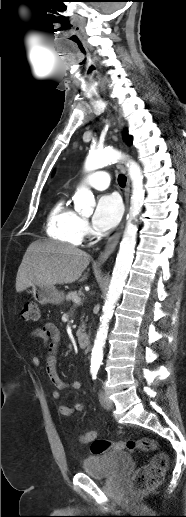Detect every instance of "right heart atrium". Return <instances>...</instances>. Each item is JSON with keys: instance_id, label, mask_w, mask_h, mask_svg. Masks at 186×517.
<instances>
[{"instance_id": "1", "label": "right heart atrium", "mask_w": 186, "mask_h": 517, "mask_svg": "<svg viewBox=\"0 0 186 517\" xmlns=\"http://www.w3.org/2000/svg\"><path fill=\"white\" fill-rule=\"evenodd\" d=\"M80 229L84 236H89L91 234V228L86 220L81 219L80 221Z\"/></svg>"}]
</instances>
